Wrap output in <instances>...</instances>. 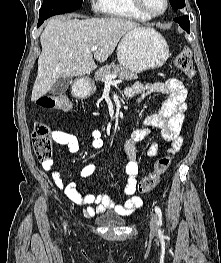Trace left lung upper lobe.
Instances as JSON below:
<instances>
[{
    "mask_svg": "<svg viewBox=\"0 0 221 263\" xmlns=\"http://www.w3.org/2000/svg\"><path fill=\"white\" fill-rule=\"evenodd\" d=\"M172 8L177 11L185 7V0H169Z\"/></svg>",
    "mask_w": 221,
    "mask_h": 263,
    "instance_id": "1",
    "label": "left lung upper lobe"
}]
</instances>
